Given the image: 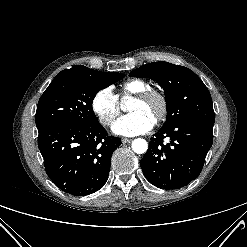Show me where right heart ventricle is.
I'll list each match as a JSON object with an SVG mask.
<instances>
[{
	"label": "right heart ventricle",
	"instance_id": "right-heart-ventricle-1",
	"mask_svg": "<svg viewBox=\"0 0 247 247\" xmlns=\"http://www.w3.org/2000/svg\"><path fill=\"white\" fill-rule=\"evenodd\" d=\"M148 89H151L149 82L142 79H128L120 85L117 97L135 96Z\"/></svg>",
	"mask_w": 247,
	"mask_h": 247
}]
</instances>
